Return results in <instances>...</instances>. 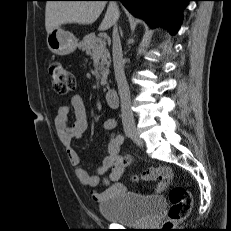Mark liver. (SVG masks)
<instances>
[{
    "instance_id": "obj_1",
    "label": "liver",
    "mask_w": 231,
    "mask_h": 231,
    "mask_svg": "<svg viewBox=\"0 0 231 231\" xmlns=\"http://www.w3.org/2000/svg\"><path fill=\"white\" fill-rule=\"evenodd\" d=\"M105 6V1H48L45 9L47 34L63 24H92L98 19ZM118 17L117 4L109 3L99 30L104 31L115 25Z\"/></svg>"
}]
</instances>
